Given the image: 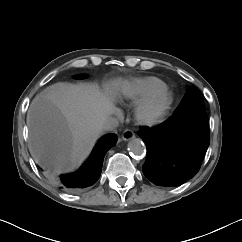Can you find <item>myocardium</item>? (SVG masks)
<instances>
[{
    "label": "myocardium",
    "mask_w": 242,
    "mask_h": 242,
    "mask_svg": "<svg viewBox=\"0 0 242 242\" xmlns=\"http://www.w3.org/2000/svg\"><path fill=\"white\" fill-rule=\"evenodd\" d=\"M173 98V93L167 88L152 94L136 106V121L149 127L159 124L170 109Z\"/></svg>",
    "instance_id": "1"
}]
</instances>
